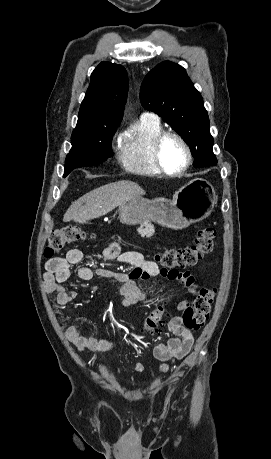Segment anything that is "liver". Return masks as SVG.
Instances as JSON below:
<instances>
[{
	"label": "liver",
	"instance_id": "1",
	"mask_svg": "<svg viewBox=\"0 0 271 459\" xmlns=\"http://www.w3.org/2000/svg\"><path fill=\"white\" fill-rule=\"evenodd\" d=\"M146 192L129 180H122V182H114V184H107L92 190L89 194H85L76 202H72V206L68 208L63 222H78V224H86L88 220H94L99 216H105L108 212H112L117 206L133 200V198H140ZM85 204V206H83Z\"/></svg>",
	"mask_w": 271,
	"mask_h": 459
}]
</instances>
